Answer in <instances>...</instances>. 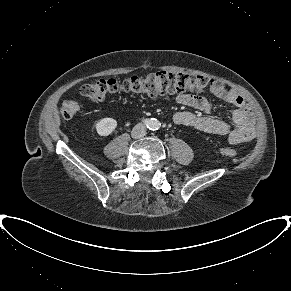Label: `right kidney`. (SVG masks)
Masks as SVG:
<instances>
[{
	"label": "right kidney",
	"instance_id": "right-kidney-1",
	"mask_svg": "<svg viewBox=\"0 0 291 291\" xmlns=\"http://www.w3.org/2000/svg\"><path fill=\"white\" fill-rule=\"evenodd\" d=\"M117 127V121L113 118H103L96 122L95 129L99 136L110 135Z\"/></svg>",
	"mask_w": 291,
	"mask_h": 291
}]
</instances>
